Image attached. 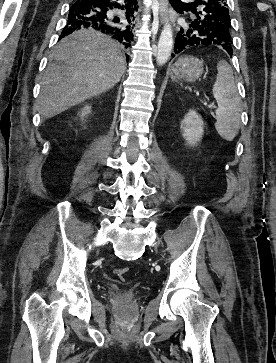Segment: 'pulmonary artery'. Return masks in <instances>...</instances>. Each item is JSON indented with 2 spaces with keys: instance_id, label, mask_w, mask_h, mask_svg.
<instances>
[{
  "instance_id": "1",
  "label": "pulmonary artery",
  "mask_w": 276,
  "mask_h": 363,
  "mask_svg": "<svg viewBox=\"0 0 276 363\" xmlns=\"http://www.w3.org/2000/svg\"><path fill=\"white\" fill-rule=\"evenodd\" d=\"M184 1H186V2H192V1H194V0H184Z\"/></svg>"
}]
</instances>
